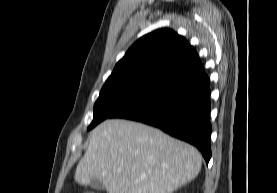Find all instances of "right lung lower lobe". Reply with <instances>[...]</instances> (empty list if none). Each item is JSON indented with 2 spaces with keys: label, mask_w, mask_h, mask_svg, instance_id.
Returning <instances> with one entry per match:
<instances>
[{
  "label": "right lung lower lobe",
  "mask_w": 277,
  "mask_h": 193,
  "mask_svg": "<svg viewBox=\"0 0 277 193\" xmlns=\"http://www.w3.org/2000/svg\"><path fill=\"white\" fill-rule=\"evenodd\" d=\"M210 83L204 69L151 92L112 118L139 121L160 128L196 146L208 164L211 158Z\"/></svg>",
  "instance_id": "98d812e1"
}]
</instances>
